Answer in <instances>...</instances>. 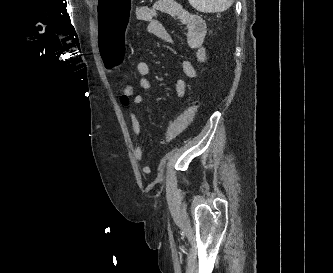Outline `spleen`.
Here are the masks:
<instances>
[{"mask_svg":"<svg viewBox=\"0 0 333 273\" xmlns=\"http://www.w3.org/2000/svg\"><path fill=\"white\" fill-rule=\"evenodd\" d=\"M198 11L203 13L223 12L232 4L233 0H188Z\"/></svg>","mask_w":333,"mask_h":273,"instance_id":"obj_1","label":"spleen"}]
</instances>
